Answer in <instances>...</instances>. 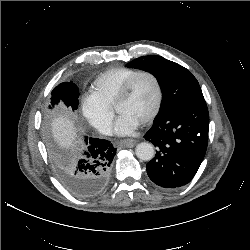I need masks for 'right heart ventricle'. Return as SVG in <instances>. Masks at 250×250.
<instances>
[{"mask_svg":"<svg viewBox=\"0 0 250 250\" xmlns=\"http://www.w3.org/2000/svg\"><path fill=\"white\" fill-rule=\"evenodd\" d=\"M139 70L127 67L109 69L100 74L91 84L89 95L106 107H112L123 85Z\"/></svg>","mask_w":250,"mask_h":250,"instance_id":"e07e8e85","label":"right heart ventricle"}]
</instances>
